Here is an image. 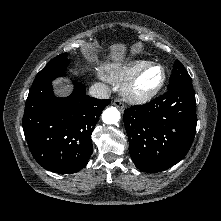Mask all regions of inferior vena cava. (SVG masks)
<instances>
[{"label":"inferior vena cava","mask_w":221,"mask_h":221,"mask_svg":"<svg viewBox=\"0 0 221 221\" xmlns=\"http://www.w3.org/2000/svg\"><path fill=\"white\" fill-rule=\"evenodd\" d=\"M89 94L95 98L107 99L110 97L111 91L107 85L95 83L89 88Z\"/></svg>","instance_id":"1"}]
</instances>
